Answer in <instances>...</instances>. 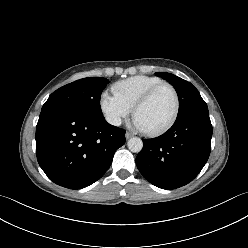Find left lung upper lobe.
Returning <instances> with one entry per match:
<instances>
[{
	"instance_id": "obj_1",
	"label": "left lung upper lobe",
	"mask_w": 248,
	"mask_h": 248,
	"mask_svg": "<svg viewBox=\"0 0 248 248\" xmlns=\"http://www.w3.org/2000/svg\"><path fill=\"white\" fill-rule=\"evenodd\" d=\"M155 74L166 79L171 85H173L177 92L179 111L176 120L187 116L195 110L207 107V104L202 99L198 90L190 82L171 73L158 72Z\"/></svg>"
}]
</instances>
